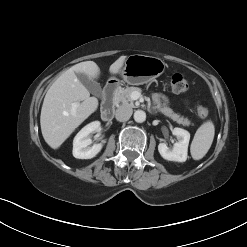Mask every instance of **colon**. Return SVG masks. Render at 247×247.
I'll list each match as a JSON object with an SVG mask.
<instances>
[{
  "label": "colon",
  "mask_w": 247,
  "mask_h": 247,
  "mask_svg": "<svg viewBox=\"0 0 247 247\" xmlns=\"http://www.w3.org/2000/svg\"><path fill=\"white\" fill-rule=\"evenodd\" d=\"M169 85L172 91L176 93L185 92L189 89V82L186 77L180 73H174L169 78ZM198 116L202 119L207 118L209 111L204 105H200L197 108Z\"/></svg>",
  "instance_id": "5ec220e1"
}]
</instances>
